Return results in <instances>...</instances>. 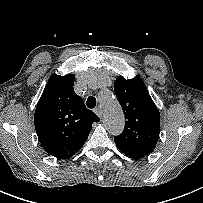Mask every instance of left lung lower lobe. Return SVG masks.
Wrapping results in <instances>:
<instances>
[{"mask_svg":"<svg viewBox=\"0 0 203 203\" xmlns=\"http://www.w3.org/2000/svg\"><path fill=\"white\" fill-rule=\"evenodd\" d=\"M119 150L122 151L125 155L132 157L133 159H140L141 158L139 156H136V155L129 153V152H126L124 150H121V149H119Z\"/></svg>","mask_w":203,"mask_h":203,"instance_id":"1","label":"left lung lower lobe"}]
</instances>
